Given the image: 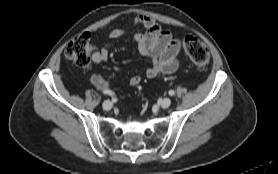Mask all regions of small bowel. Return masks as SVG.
Masks as SVG:
<instances>
[{"label":"small bowel","instance_id":"obj_1","mask_svg":"<svg viewBox=\"0 0 278 174\" xmlns=\"http://www.w3.org/2000/svg\"><path fill=\"white\" fill-rule=\"evenodd\" d=\"M133 26L143 27L144 33H136L134 40L141 55L151 59V64L146 68L145 75L154 78L159 74L174 73L179 67L178 55L181 49L180 42L173 34L163 29L152 17L140 15L133 20ZM125 31L115 28L110 31L108 37L111 42L122 38ZM111 43L95 51L92 60L100 64L109 58ZM115 71H119L115 68ZM142 80L140 75H133L129 80L131 87L137 86ZM90 81L94 87L103 91H111L109 82L101 75L94 74ZM112 92V91H111Z\"/></svg>","mask_w":278,"mask_h":174}]
</instances>
